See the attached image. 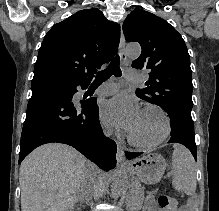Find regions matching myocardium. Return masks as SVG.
Segmentation results:
<instances>
[{
  "label": "myocardium",
  "instance_id": "obj_1",
  "mask_svg": "<svg viewBox=\"0 0 219 211\" xmlns=\"http://www.w3.org/2000/svg\"><path fill=\"white\" fill-rule=\"evenodd\" d=\"M148 109L156 110L157 112H159L162 115L163 120H164L163 133L158 139L151 141V142L138 141L130 133H128L127 140L133 146L140 147V148H153V147H156L157 145L161 144L162 142H164L170 134L171 121H170V117L167 114V112L157 104H146L142 107L141 112L148 110Z\"/></svg>",
  "mask_w": 219,
  "mask_h": 211
}]
</instances>
